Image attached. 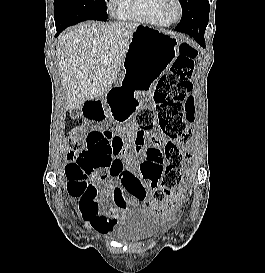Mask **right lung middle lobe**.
Listing matches in <instances>:
<instances>
[{
	"label": "right lung middle lobe",
	"mask_w": 265,
	"mask_h": 273,
	"mask_svg": "<svg viewBox=\"0 0 265 273\" xmlns=\"http://www.w3.org/2000/svg\"><path fill=\"white\" fill-rule=\"evenodd\" d=\"M105 0H54V19L57 29L86 20L106 21Z\"/></svg>",
	"instance_id": "1"
}]
</instances>
